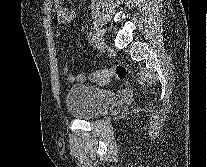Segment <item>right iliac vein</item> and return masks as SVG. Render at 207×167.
<instances>
[{
	"label": "right iliac vein",
	"instance_id": "63e3f726",
	"mask_svg": "<svg viewBox=\"0 0 207 167\" xmlns=\"http://www.w3.org/2000/svg\"><path fill=\"white\" fill-rule=\"evenodd\" d=\"M95 44L98 49L104 47V31L97 20L94 21Z\"/></svg>",
	"mask_w": 207,
	"mask_h": 167
}]
</instances>
